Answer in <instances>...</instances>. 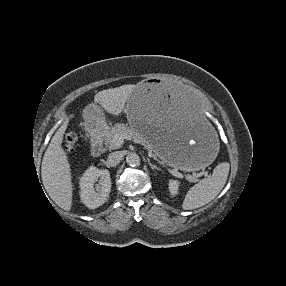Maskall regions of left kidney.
<instances>
[{"label": "left kidney", "instance_id": "1", "mask_svg": "<svg viewBox=\"0 0 286 286\" xmlns=\"http://www.w3.org/2000/svg\"><path fill=\"white\" fill-rule=\"evenodd\" d=\"M178 189H179V182L176 180H171L169 182V191L170 193L174 196L178 193Z\"/></svg>", "mask_w": 286, "mask_h": 286}]
</instances>
